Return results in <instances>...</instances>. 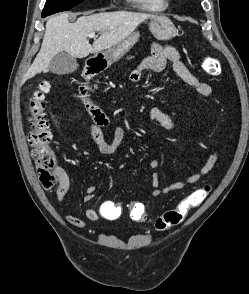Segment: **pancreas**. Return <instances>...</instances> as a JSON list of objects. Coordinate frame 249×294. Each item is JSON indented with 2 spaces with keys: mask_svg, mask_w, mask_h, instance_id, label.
Returning a JSON list of instances; mask_svg holds the SVG:
<instances>
[{
  "mask_svg": "<svg viewBox=\"0 0 249 294\" xmlns=\"http://www.w3.org/2000/svg\"><path fill=\"white\" fill-rule=\"evenodd\" d=\"M132 58H133V56L127 57L128 60H130V59H132Z\"/></svg>",
  "mask_w": 249,
  "mask_h": 294,
  "instance_id": "pancreas-1",
  "label": "pancreas"
}]
</instances>
